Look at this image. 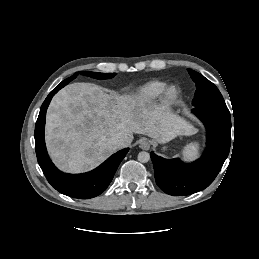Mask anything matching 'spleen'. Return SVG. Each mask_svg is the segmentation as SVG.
Here are the masks:
<instances>
[{
  "label": "spleen",
  "mask_w": 259,
  "mask_h": 259,
  "mask_svg": "<svg viewBox=\"0 0 259 259\" xmlns=\"http://www.w3.org/2000/svg\"><path fill=\"white\" fill-rule=\"evenodd\" d=\"M200 144L198 142H192L187 144L182 150V156L184 159L192 160L199 154Z\"/></svg>",
  "instance_id": "obj_1"
}]
</instances>
